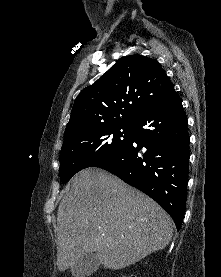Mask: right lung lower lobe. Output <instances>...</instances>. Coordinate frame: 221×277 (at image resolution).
Wrapping results in <instances>:
<instances>
[{
	"label": "right lung lower lobe",
	"instance_id": "98d812e1",
	"mask_svg": "<svg viewBox=\"0 0 221 277\" xmlns=\"http://www.w3.org/2000/svg\"><path fill=\"white\" fill-rule=\"evenodd\" d=\"M132 126L130 143L93 167L105 169L147 194L170 214L179 230L186 208L189 135L175 90Z\"/></svg>",
	"mask_w": 221,
	"mask_h": 277
}]
</instances>
